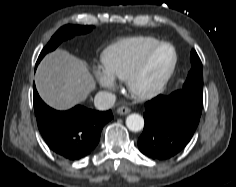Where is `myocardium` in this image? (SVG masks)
Masks as SVG:
<instances>
[{
	"instance_id": "1",
	"label": "myocardium",
	"mask_w": 236,
	"mask_h": 187,
	"mask_svg": "<svg viewBox=\"0 0 236 187\" xmlns=\"http://www.w3.org/2000/svg\"><path fill=\"white\" fill-rule=\"evenodd\" d=\"M165 46L169 47L172 50V54H173V58H172V61L169 65V67L167 68V70L163 73V75L160 77V79L153 86H151L149 88L139 87L138 82H139L142 74L144 73L151 57L160 48L165 47ZM177 62H178L177 51L172 44H170L168 42L157 43L156 45L151 47L149 50H147L143 54V56L140 58L138 63L135 65L133 70L130 72V74L126 78V85H127L128 91L135 98L142 99V100L152 99V98L156 97L164 90V88L166 87V85L170 81V79L176 69Z\"/></svg>"
}]
</instances>
